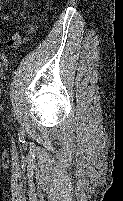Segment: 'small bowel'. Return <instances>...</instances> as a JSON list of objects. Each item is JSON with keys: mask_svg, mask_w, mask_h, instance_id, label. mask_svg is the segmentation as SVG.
Masks as SVG:
<instances>
[{"mask_svg": "<svg viewBox=\"0 0 123 201\" xmlns=\"http://www.w3.org/2000/svg\"><path fill=\"white\" fill-rule=\"evenodd\" d=\"M2 10V0H0V11ZM28 39L22 41L21 34L19 31H15L10 42L9 46L13 50H18L22 43H26Z\"/></svg>", "mask_w": 123, "mask_h": 201, "instance_id": "small-bowel-1", "label": "small bowel"}]
</instances>
